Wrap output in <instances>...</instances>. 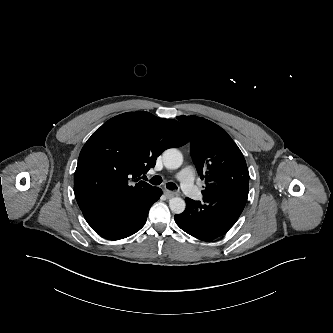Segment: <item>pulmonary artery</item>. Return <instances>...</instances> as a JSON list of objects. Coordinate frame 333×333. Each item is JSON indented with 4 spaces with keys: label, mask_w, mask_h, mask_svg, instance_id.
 <instances>
[{
    "label": "pulmonary artery",
    "mask_w": 333,
    "mask_h": 333,
    "mask_svg": "<svg viewBox=\"0 0 333 333\" xmlns=\"http://www.w3.org/2000/svg\"><path fill=\"white\" fill-rule=\"evenodd\" d=\"M195 172L191 166L183 168L176 174V179L181 182L183 191L191 197H198L200 192L194 184Z\"/></svg>",
    "instance_id": "obj_1"
}]
</instances>
